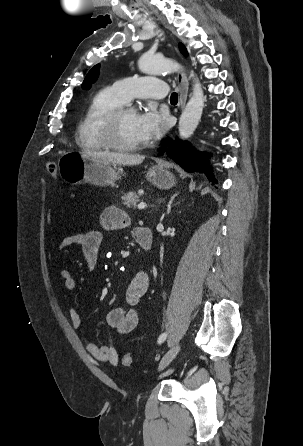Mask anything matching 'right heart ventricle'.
I'll return each mask as SVG.
<instances>
[{"mask_svg":"<svg viewBox=\"0 0 303 446\" xmlns=\"http://www.w3.org/2000/svg\"><path fill=\"white\" fill-rule=\"evenodd\" d=\"M125 103L113 86L100 90L89 103L78 124L76 131L77 145L89 151L108 149L102 136L104 118L109 112L123 106Z\"/></svg>","mask_w":303,"mask_h":446,"instance_id":"right-heart-ventricle-1","label":"right heart ventricle"}]
</instances>
